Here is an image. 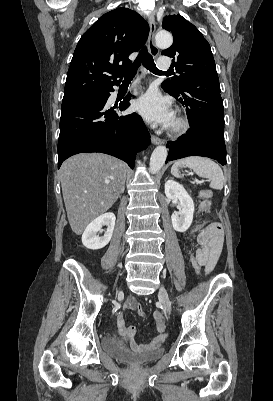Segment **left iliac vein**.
Instances as JSON below:
<instances>
[{"label":"left iliac vein","mask_w":273,"mask_h":401,"mask_svg":"<svg viewBox=\"0 0 273 401\" xmlns=\"http://www.w3.org/2000/svg\"><path fill=\"white\" fill-rule=\"evenodd\" d=\"M159 298L162 301L165 313L169 315L171 313V301L168 297L166 289L163 286L160 288Z\"/></svg>","instance_id":"4c4485c4"}]
</instances>
